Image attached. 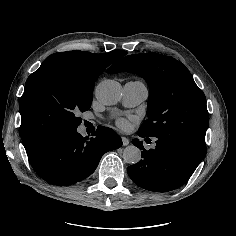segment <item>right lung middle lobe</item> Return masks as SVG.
<instances>
[{
	"label": "right lung middle lobe",
	"mask_w": 236,
	"mask_h": 236,
	"mask_svg": "<svg viewBox=\"0 0 236 236\" xmlns=\"http://www.w3.org/2000/svg\"><path fill=\"white\" fill-rule=\"evenodd\" d=\"M97 78L67 66L36 70L26 81L20 100V136L26 152L54 134L77 129L92 103Z\"/></svg>",
	"instance_id": "obj_1"
}]
</instances>
